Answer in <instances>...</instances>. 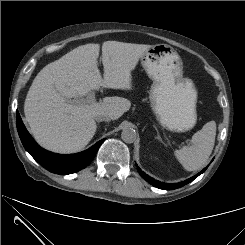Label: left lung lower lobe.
I'll return each instance as SVG.
<instances>
[{
  "label": "left lung lower lobe",
  "mask_w": 245,
  "mask_h": 245,
  "mask_svg": "<svg viewBox=\"0 0 245 245\" xmlns=\"http://www.w3.org/2000/svg\"><path fill=\"white\" fill-rule=\"evenodd\" d=\"M137 166V165H136ZM207 169L204 168L201 172H199L197 175L185 180L184 182L181 183H171V184H167V183H163V182H159L156 181L155 179H153L152 177H149L148 175H146L143 171L140 170V168H138V171L140 173V175L147 181L149 182L151 185L159 188V189H163V190H172V189H177L180 188L188 183H190L191 181H193L195 178H197L200 174H202L205 170Z\"/></svg>",
  "instance_id": "left-lung-lower-lobe-1"
}]
</instances>
